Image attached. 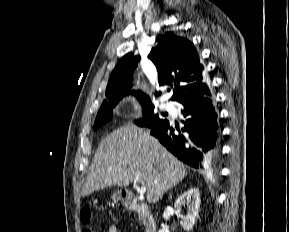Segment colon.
I'll use <instances>...</instances> for the list:
<instances>
[{"label": "colon", "mask_w": 289, "mask_h": 232, "mask_svg": "<svg viewBox=\"0 0 289 232\" xmlns=\"http://www.w3.org/2000/svg\"><path fill=\"white\" fill-rule=\"evenodd\" d=\"M80 218L82 223L86 226L82 232H95V229L91 226L93 218L92 211L88 207L82 209Z\"/></svg>", "instance_id": "1"}]
</instances>
